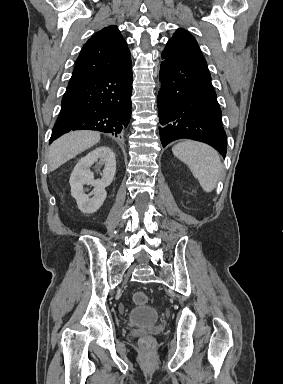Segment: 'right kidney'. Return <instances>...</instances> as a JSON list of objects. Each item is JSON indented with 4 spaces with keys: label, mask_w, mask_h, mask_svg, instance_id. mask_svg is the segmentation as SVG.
Returning <instances> with one entry per match:
<instances>
[{
    "label": "right kidney",
    "mask_w": 283,
    "mask_h": 384,
    "mask_svg": "<svg viewBox=\"0 0 283 384\" xmlns=\"http://www.w3.org/2000/svg\"><path fill=\"white\" fill-rule=\"evenodd\" d=\"M93 164H96L97 168L104 166L101 180H94V176L90 172ZM115 172V154L107 146L95 148L85 158L79 160L70 176L69 184L71 186V196L75 198L77 206L83 214H94L101 208L107 196L105 188L113 182ZM85 184L94 186L93 198H89L88 194H85Z\"/></svg>",
    "instance_id": "obj_1"
}]
</instances>
